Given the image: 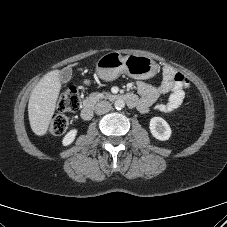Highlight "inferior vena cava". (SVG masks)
Wrapping results in <instances>:
<instances>
[{
    "label": "inferior vena cava",
    "instance_id": "602c4592",
    "mask_svg": "<svg viewBox=\"0 0 227 227\" xmlns=\"http://www.w3.org/2000/svg\"><path fill=\"white\" fill-rule=\"evenodd\" d=\"M111 108L112 106L110 102L100 101L95 105L94 110L96 114L101 115V114L108 113L111 110Z\"/></svg>",
    "mask_w": 227,
    "mask_h": 227
}]
</instances>
